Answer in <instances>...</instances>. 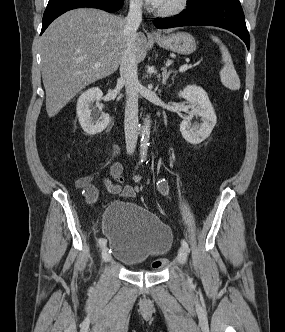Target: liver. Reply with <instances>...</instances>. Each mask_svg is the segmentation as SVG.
Segmentation results:
<instances>
[{
	"label": "liver",
	"instance_id": "6515ba94",
	"mask_svg": "<svg viewBox=\"0 0 285 332\" xmlns=\"http://www.w3.org/2000/svg\"><path fill=\"white\" fill-rule=\"evenodd\" d=\"M125 27L123 17L79 8L64 13L46 29L41 39V71L50 118L86 86L118 69L126 46ZM147 49L145 35L137 33V63L145 59Z\"/></svg>",
	"mask_w": 285,
	"mask_h": 332
}]
</instances>
